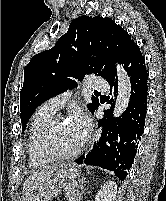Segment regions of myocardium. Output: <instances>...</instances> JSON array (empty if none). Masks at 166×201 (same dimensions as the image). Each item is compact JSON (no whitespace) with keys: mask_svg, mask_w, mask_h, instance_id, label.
<instances>
[{"mask_svg":"<svg viewBox=\"0 0 166 201\" xmlns=\"http://www.w3.org/2000/svg\"><path fill=\"white\" fill-rule=\"evenodd\" d=\"M65 120L62 115H54L45 122L38 130L36 136L35 149L40 160L47 159L51 161L67 160L76 157L83 149V143L74 151L62 153L55 150L51 145V136L54 128Z\"/></svg>","mask_w":166,"mask_h":201,"instance_id":"1","label":"myocardium"}]
</instances>
